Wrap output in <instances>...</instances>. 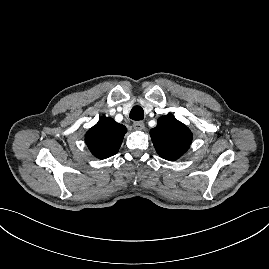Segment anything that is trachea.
Listing matches in <instances>:
<instances>
[{"instance_id": "obj_1", "label": "trachea", "mask_w": 269, "mask_h": 269, "mask_svg": "<svg viewBox=\"0 0 269 269\" xmlns=\"http://www.w3.org/2000/svg\"><path fill=\"white\" fill-rule=\"evenodd\" d=\"M130 118L135 121L143 120L144 118V111L141 106H134L130 111Z\"/></svg>"}]
</instances>
